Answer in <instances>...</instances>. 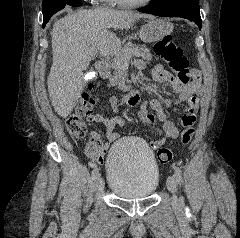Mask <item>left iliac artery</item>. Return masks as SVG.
<instances>
[{
  "label": "left iliac artery",
  "instance_id": "44dca946",
  "mask_svg": "<svg viewBox=\"0 0 240 238\" xmlns=\"http://www.w3.org/2000/svg\"><path fill=\"white\" fill-rule=\"evenodd\" d=\"M174 177L179 183H182V171L179 167H174Z\"/></svg>",
  "mask_w": 240,
  "mask_h": 238
}]
</instances>
